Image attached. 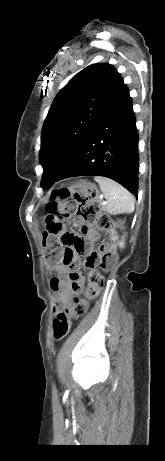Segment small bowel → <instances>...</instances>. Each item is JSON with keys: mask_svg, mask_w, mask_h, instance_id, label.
I'll return each mask as SVG.
<instances>
[{"mask_svg": "<svg viewBox=\"0 0 165 461\" xmlns=\"http://www.w3.org/2000/svg\"><path fill=\"white\" fill-rule=\"evenodd\" d=\"M74 229H61L59 248L73 251H61L60 263L55 267L57 276L50 281L51 289L57 294L56 308L66 306L72 295L84 289V276L79 271V254L87 257L95 252V243L100 238L95 225H80V219L75 221ZM86 265V261H85Z\"/></svg>", "mask_w": 165, "mask_h": 461, "instance_id": "obj_1", "label": "small bowel"}]
</instances>
